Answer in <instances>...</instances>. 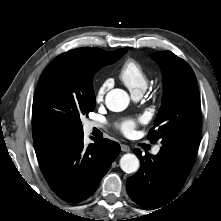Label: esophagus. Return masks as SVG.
I'll list each match as a JSON object with an SVG mask.
<instances>
[{
    "label": "esophagus",
    "instance_id": "1",
    "mask_svg": "<svg viewBox=\"0 0 221 221\" xmlns=\"http://www.w3.org/2000/svg\"><path fill=\"white\" fill-rule=\"evenodd\" d=\"M121 150L123 152H129L130 151V147L128 145L121 144Z\"/></svg>",
    "mask_w": 221,
    "mask_h": 221
}]
</instances>
